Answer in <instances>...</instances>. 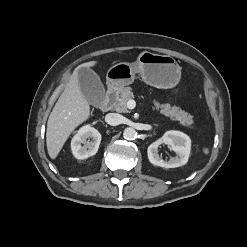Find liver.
<instances>
[{
    "instance_id": "1",
    "label": "liver",
    "mask_w": 247,
    "mask_h": 247,
    "mask_svg": "<svg viewBox=\"0 0 247 247\" xmlns=\"http://www.w3.org/2000/svg\"><path fill=\"white\" fill-rule=\"evenodd\" d=\"M96 61L80 65L72 74L64 91L49 115L46 131V144L51 159H55L70 134L90 116L89 102L81 92L78 69L93 67Z\"/></svg>"
}]
</instances>
